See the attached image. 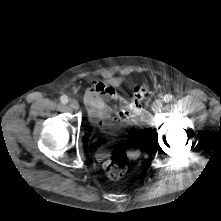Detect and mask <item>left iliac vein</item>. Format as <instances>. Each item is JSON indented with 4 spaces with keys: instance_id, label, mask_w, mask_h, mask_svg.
I'll return each mask as SVG.
<instances>
[{
    "instance_id": "left-iliac-vein-1",
    "label": "left iliac vein",
    "mask_w": 221,
    "mask_h": 221,
    "mask_svg": "<svg viewBox=\"0 0 221 221\" xmlns=\"http://www.w3.org/2000/svg\"><path fill=\"white\" fill-rule=\"evenodd\" d=\"M162 107H163L162 102L160 100H157L152 105V111L157 113V112L161 111Z\"/></svg>"
}]
</instances>
